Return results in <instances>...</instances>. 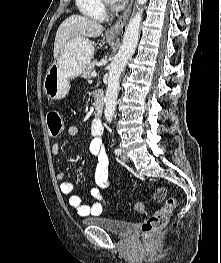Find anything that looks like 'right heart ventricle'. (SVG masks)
Wrapping results in <instances>:
<instances>
[{"label":"right heart ventricle","mask_w":221,"mask_h":263,"mask_svg":"<svg viewBox=\"0 0 221 263\" xmlns=\"http://www.w3.org/2000/svg\"><path fill=\"white\" fill-rule=\"evenodd\" d=\"M78 10L85 17L96 21H103L106 9L102 0H76Z\"/></svg>","instance_id":"obj_1"}]
</instances>
